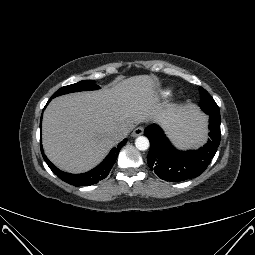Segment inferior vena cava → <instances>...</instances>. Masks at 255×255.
<instances>
[{"label":"inferior vena cava","mask_w":255,"mask_h":255,"mask_svg":"<svg viewBox=\"0 0 255 255\" xmlns=\"http://www.w3.org/2000/svg\"><path fill=\"white\" fill-rule=\"evenodd\" d=\"M127 136V130L125 129H119V130H116L114 133H113V137L120 141L122 139H124L125 137Z\"/></svg>","instance_id":"602c4592"}]
</instances>
